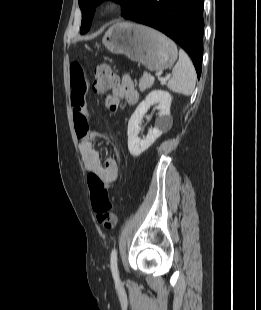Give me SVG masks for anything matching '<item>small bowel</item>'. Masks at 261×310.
I'll use <instances>...</instances> for the list:
<instances>
[{"label":"small bowel","instance_id":"small-bowel-1","mask_svg":"<svg viewBox=\"0 0 261 310\" xmlns=\"http://www.w3.org/2000/svg\"><path fill=\"white\" fill-rule=\"evenodd\" d=\"M71 104L73 109L74 125L84 164L87 170L100 176L108 185L114 186L118 179V164L115 159H106L102 165L100 155L95 149L93 141L103 137L99 131H89L88 110L85 101L86 81L82 66L74 62L70 66ZM139 94L132 78L123 76L111 87V93L105 98V105L110 110L118 107L120 100L128 104H135Z\"/></svg>","mask_w":261,"mask_h":310}]
</instances>
